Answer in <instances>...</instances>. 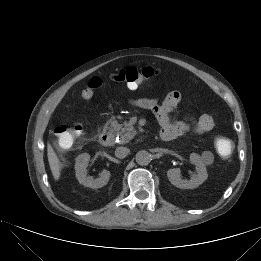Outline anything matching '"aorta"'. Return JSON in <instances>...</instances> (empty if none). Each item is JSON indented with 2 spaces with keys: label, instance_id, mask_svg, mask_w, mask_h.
Masks as SVG:
<instances>
[{
  "label": "aorta",
  "instance_id": "obj_1",
  "mask_svg": "<svg viewBox=\"0 0 261 261\" xmlns=\"http://www.w3.org/2000/svg\"><path fill=\"white\" fill-rule=\"evenodd\" d=\"M136 162L139 165L145 166L148 165L151 161V155L145 150L139 151L136 153Z\"/></svg>",
  "mask_w": 261,
  "mask_h": 261
}]
</instances>
